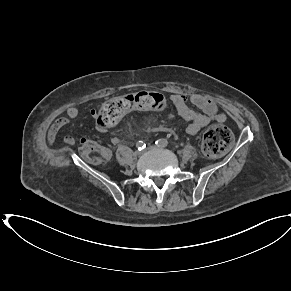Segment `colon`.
I'll list each match as a JSON object with an SVG mask.
<instances>
[{
    "instance_id": "5ec220e1",
    "label": "colon",
    "mask_w": 291,
    "mask_h": 291,
    "mask_svg": "<svg viewBox=\"0 0 291 291\" xmlns=\"http://www.w3.org/2000/svg\"><path fill=\"white\" fill-rule=\"evenodd\" d=\"M166 107L164 97L152 91H138L113 98L98 111L96 121L101 129L116 125L124 116L136 111H161ZM233 143L230 130L223 125L209 128L203 136L202 148L208 156H219L225 153ZM81 154L94 164H101L109 159L108 150L93 142L87 141L81 146Z\"/></svg>"
}]
</instances>
